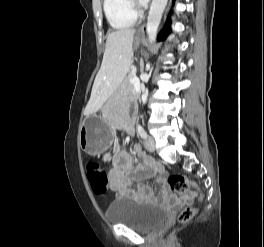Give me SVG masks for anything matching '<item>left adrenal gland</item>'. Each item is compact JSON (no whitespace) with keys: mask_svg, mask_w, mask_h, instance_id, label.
Here are the masks:
<instances>
[{"mask_svg":"<svg viewBox=\"0 0 264 247\" xmlns=\"http://www.w3.org/2000/svg\"><path fill=\"white\" fill-rule=\"evenodd\" d=\"M143 69H144V64L142 63V65H141V71H143Z\"/></svg>","mask_w":264,"mask_h":247,"instance_id":"a2214340","label":"left adrenal gland"}]
</instances>
